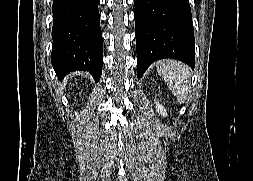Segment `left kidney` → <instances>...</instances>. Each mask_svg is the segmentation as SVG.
I'll list each match as a JSON object with an SVG mask.
<instances>
[{
    "mask_svg": "<svg viewBox=\"0 0 253 181\" xmlns=\"http://www.w3.org/2000/svg\"><path fill=\"white\" fill-rule=\"evenodd\" d=\"M155 104H156L157 112L161 114L163 117H166L167 113H166L165 108L161 104H159V101L158 102L155 101Z\"/></svg>",
    "mask_w": 253,
    "mask_h": 181,
    "instance_id": "1",
    "label": "left kidney"
}]
</instances>
